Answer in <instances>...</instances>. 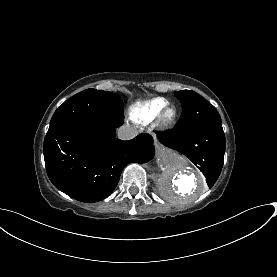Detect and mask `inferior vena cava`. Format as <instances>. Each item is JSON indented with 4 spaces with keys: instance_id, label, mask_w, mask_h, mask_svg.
I'll return each mask as SVG.
<instances>
[{
    "instance_id": "1",
    "label": "inferior vena cava",
    "mask_w": 277,
    "mask_h": 277,
    "mask_svg": "<svg viewBox=\"0 0 277 277\" xmlns=\"http://www.w3.org/2000/svg\"><path fill=\"white\" fill-rule=\"evenodd\" d=\"M138 133L139 131L135 126L128 125L121 126L117 131L118 138L121 140L133 139L138 135Z\"/></svg>"
}]
</instances>
